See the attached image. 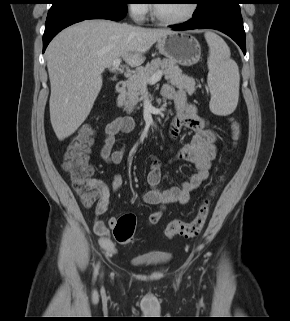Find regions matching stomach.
<instances>
[{
	"instance_id": "0dacf381",
	"label": "stomach",
	"mask_w": 290,
	"mask_h": 321,
	"mask_svg": "<svg viewBox=\"0 0 290 321\" xmlns=\"http://www.w3.org/2000/svg\"><path fill=\"white\" fill-rule=\"evenodd\" d=\"M159 52L182 66L196 64L201 56V47L188 32H171L157 42Z\"/></svg>"
}]
</instances>
